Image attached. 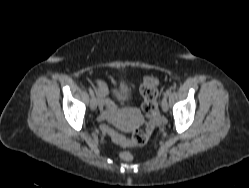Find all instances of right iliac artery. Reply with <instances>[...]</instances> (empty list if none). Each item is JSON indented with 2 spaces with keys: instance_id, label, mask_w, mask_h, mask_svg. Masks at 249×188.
I'll return each mask as SVG.
<instances>
[{
  "instance_id": "obj_1",
  "label": "right iliac artery",
  "mask_w": 249,
  "mask_h": 188,
  "mask_svg": "<svg viewBox=\"0 0 249 188\" xmlns=\"http://www.w3.org/2000/svg\"><path fill=\"white\" fill-rule=\"evenodd\" d=\"M88 91H89L91 96L94 95V92H93L92 88H89Z\"/></svg>"
}]
</instances>
